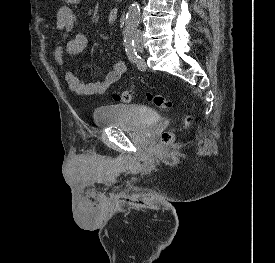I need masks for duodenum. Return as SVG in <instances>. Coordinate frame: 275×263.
Segmentation results:
<instances>
[{"mask_svg":"<svg viewBox=\"0 0 275 263\" xmlns=\"http://www.w3.org/2000/svg\"><path fill=\"white\" fill-rule=\"evenodd\" d=\"M118 2H121V1H123V0H117Z\"/></svg>","mask_w":275,"mask_h":263,"instance_id":"obj_1","label":"duodenum"}]
</instances>
